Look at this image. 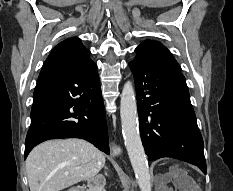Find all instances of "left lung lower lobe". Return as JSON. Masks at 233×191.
Returning <instances> with one entry per match:
<instances>
[{
  "label": "left lung lower lobe",
  "mask_w": 233,
  "mask_h": 191,
  "mask_svg": "<svg viewBox=\"0 0 233 191\" xmlns=\"http://www.w3.org/2000/svg\"><path fill=\"white\" fill-rule=\"evenodd\" d=\"M140 135L149 160L176 158L206 174L203 139L181 71L160 62L135 58Z\"/></svg>",
  "instance_id": "1"
}]
</instances>
